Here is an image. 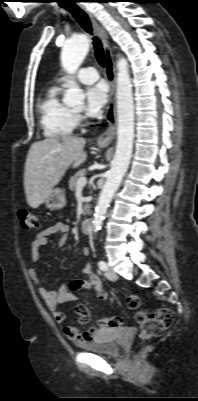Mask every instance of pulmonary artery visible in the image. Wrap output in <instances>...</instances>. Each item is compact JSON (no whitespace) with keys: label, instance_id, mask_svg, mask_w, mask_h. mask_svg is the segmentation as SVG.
Segmentation results:
<instances>
[{"label":"pulmonary artery","instance_id":"e3ab8cb5","mask_svg":"<svg viewBox=\"0 0 198 401\" xmlns=\"http://www.w3.org/2000/svg\"><path fill=\"white\" fill-rule=\"evenodd\" d=\"M99 78V74L96 69L92 67L83 68L77 74V79L84 84H91L95 82ZM66 78H61V82L63 83Z\"/></svg>","mask_w":198,"mask_h":401}]
</instances>
